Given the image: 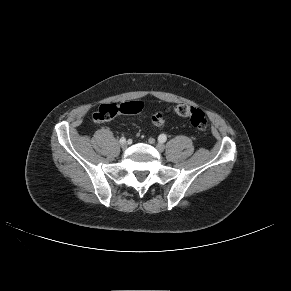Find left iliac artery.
Returning a JSON list of instances; mask_svg holds the SVG:
<instances>
[{
    "mask_svg": "<svg viewBox=\"0 0 291 291\" xmlns=\"http://www.w3.org/2000/svg\"><path fill=\"white\" fill-rule=\"evenodd\" d=\"M158 140H159V142L164 143V142H166L167 137L165 134H161V135H159Z\"/></svg>",
    "mask_w": 291,
    "mask_h": 291,
    "instance_id": "obj_1",
    "label": "left iliac artery"
}]
</instances>
